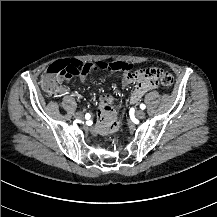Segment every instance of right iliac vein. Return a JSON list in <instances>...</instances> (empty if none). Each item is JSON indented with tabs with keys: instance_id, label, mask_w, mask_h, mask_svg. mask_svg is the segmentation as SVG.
<instances>
[{
	"instance_id": "63e3f726",
	"label": "right iliac vein",
	"mask_w": 217,
	"mask_h": 217,
	"mask_svg": "<svg viewBox=\"0 0 217 217\" xmlns=\"http://www.w3.org/2000/svg\"><path fill=\"white\" fill-rule=\"evenodd\" d=\"M75 118H77V119H83L84 118V114L82 113V112H77L76 114H75Z\"/></svg>"
}]
</instances>
